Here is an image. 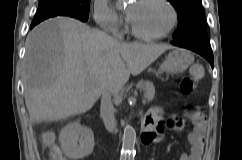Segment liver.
Here are the masks:
<instances>
[{
  "label": "liver",
  "mask_w": 242,
  "mask_h": 160,
  "mask_svg": "<svg viewBox=\"0 0 242 160\" xmlns=\"http://www.w3.org/2000/svg\"><path fill=\"white\" fill-rule=\"evenodd\" d=\"M25 46V103L33 122L85 113L98 100L103 84L117 93L130 75H139L174 48L167 44L122 43L68 17L36 26Z\"/></svg>",
  "instance_id": "1"
}]
</instances>
